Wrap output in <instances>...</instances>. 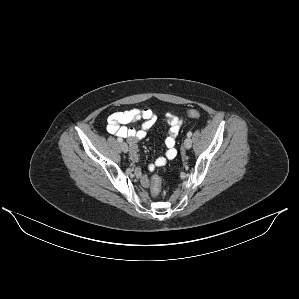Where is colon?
<instances>
[{"label":"colon","mask_w":299,"mask_h":299,"mask_svg":"<svg viewBox=\"0 0 299 299\" xmlns=\"http://www.w3.org/2000/svg\"><path fill=\"white\" fill-rule=\"evenodd\" d=\"M188 117L196 119L200 117V112L198 110H190L187 112ZM161 191V179L159 176H153L151 192L154 196H158Z\"/></svg>","instance_id":"obj_1"}]
</instances>
